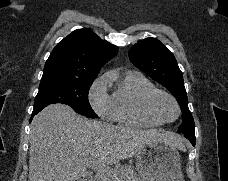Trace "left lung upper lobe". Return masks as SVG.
Instances as JSON below:
<instances>
[{
	"label": "left lung upper lobe",
	"instance_id": "left-lung-upper-lobe-1",
	"mask_svg": "<svg viewBox=\"0 0 228 181\" xmlns=\"http://www.w3.org/2000/svg\"><path fill=\"white\" fill-rule=\"evenodd\" d=\"M129 58L137 68L166 87L177 99L183 113L178 132L194 131L195 123L188 108L183 75L172 52L159 40L150 37L133 45Z\"/></svg>",
	"mask_w": 228,
	"mask_h": 181
}]
</instances>
